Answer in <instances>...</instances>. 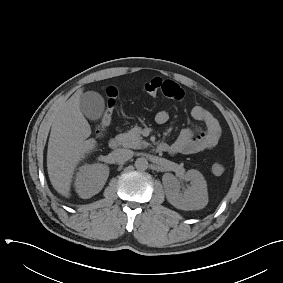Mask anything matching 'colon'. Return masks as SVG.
I'll return each instance as SVG.
<instances>
[{
	"label": "colon",
	"mask_w": 283,
	"mask_h": 283,
	"mask_svg": "<svg viewBox=\"0 0 283 283\" xmlns=\"http://www.w3.org/2000/svg\"><path fill=\"white\" fill-rule=\"evenodd\" d=\"M163 80L160 78H153L148 80L144 84V90L149 95L155 96L161 92ZM107 96V105L106 110L97 124L96 132L98 135H102L105 131L107 125L110 122L111 114L115 106L116 98H117V90L115 87H108L106 90ZM225 165L221 162H216L212 165V172L215 175H221L225 172Z\"/></svg>",
	"instance_id": "5ec220e1"
}]
</instances>
